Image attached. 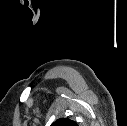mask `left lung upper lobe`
Returning a JSON list of instances; mask_svg holds the SVG:
<instances>
[{
	"label": "left lung upper lobe",
	"instance_id": "left-lung-upper-lobe-1",
	"mask_svg": "<svg viewBox=\"0 0 127 126\" xmlns=\"http://www.w3.org/2000/svg\"><path fill=\"white\" fill-rule=\"evenodd\" d=\"M51 126H77V123L68 118H60L55 121Z\"/></svg>",
	"mask_w": 127,
	"mask_h": 126
}]
</instances>
